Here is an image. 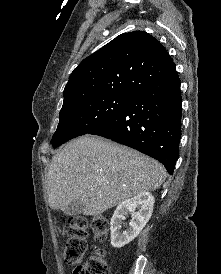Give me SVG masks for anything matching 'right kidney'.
I'll return each instance as SVG.
<instances>
[{
    "label": "right kidney",
    "instance_id": "1",
    "mask_svg": "<svg viewBox=\"0 0 221 274\" xmlns=\"http://www.w3.org/2000/svg\"><path fill=\"white\" fill-rule=\"evenodd\" d=\"M154 206V197L150 192H141L133 198L126 199L120 203L110 222L111 245L114 248H121L131 242L144 228L149 221ZM137 210V211H136ZM131 214L129 228L120 231L125 216Z\"/></svg>",
    "mask_w": 221,
    "mask_h": 274
}]
</instances>
